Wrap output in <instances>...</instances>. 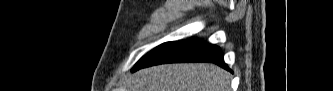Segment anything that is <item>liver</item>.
I'll list each match as a JSON object with an SVG mask.
<instances>
[{
    "label": "liver",
    "instance_id": "1",
    "mask_svg": "<svg viewBox=\"0 0 333 91\" xmlns=\"http://www.w3.org/2000/svg\"><path fill=\"white\" fill-rule=\"evenodd\" d=\"M231 76L214 64H167L140 70L132 91H230Z\"/></svg>",
    "mask_w": 333,
    "mask_h": 91
}]
</instances>
